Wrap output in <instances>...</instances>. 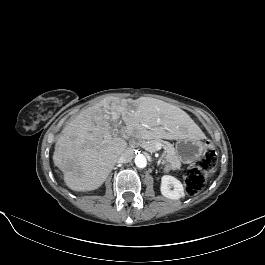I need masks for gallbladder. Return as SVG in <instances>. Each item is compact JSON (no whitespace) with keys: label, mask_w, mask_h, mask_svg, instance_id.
<instances>
[{"label":"gallbladder","mask_w":265,"mask_h":265,"mask_svg":"<svg viewBox=\"0 0 265 265\" xmlns=\"http://www.w3.org/2000/svg\"><path fill=\"white\" fill-rule=\"evenodd\" d=\"M113 133H114L115 135H119V133H118V130H117V129H114V130H113Z\"/></svg>","instance_id":"gallbladder-1"}]
</instances>
